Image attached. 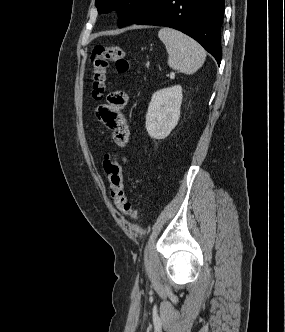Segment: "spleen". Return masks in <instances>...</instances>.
<instances>
[{
  "mask_svg": "<svg viewBox=\"0 0 285 332\" xmlns=\"http://www.w3.org/2000/svg\"><path fill=\"white\" fill-rule=\"evenodd\" d=\"M168 53V65L184 74L195 73L204 63L206 51L191 37L184 33L164 27L158 32Z\"/></svg>",
  "mask_w": 285,
  "mask_h": 332,
  "instance_id": "obj_1",
  "label": "spleen"
}]
</instances>
